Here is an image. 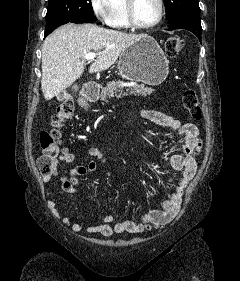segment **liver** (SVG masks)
Masks as SVG:
<instances>
[{"label": "liver", "instance_id": "liver-1", "mask_svg": "<svg viewBox=\"0 0 240 281\" xmlns=\"http://www.w3.org/2000/svg\"><path fill=\"white\" fill-rule=\"evenodd\" d=\"M145 34L124 33L94 24H66L44 41L42 46L41 89L46 100L68 88L84 71L85 54H98L89 73L107 70L132 44Z\"/></svg>", "mask_w": 240, "mask_h": 281}]
</instances>
